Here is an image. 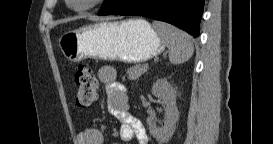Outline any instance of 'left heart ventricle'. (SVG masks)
<instances>
[{
	"mask_svg": "<svg viewBox=\"0 0 273 144\" xmlns=\"http://www.w3.org/2000/svg\"><path fill=\"white\" fill-rule=\"evenodd\" d=\"M88 0H72V3L76 6H81L85 4Z\"/></svg>",
	"mask_w": 273,
	"mask_h": 144,
	"instance_id": "b2bd125f",
	"label": "left heart ventricle"
}]
</instances>
